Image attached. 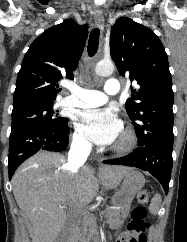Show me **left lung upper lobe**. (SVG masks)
I'll use <instances>...</instances> for the list:
<instances>
[{
	"label": "left lung upper lobe",
	"instance_id": "5c2ea615",
	"mask_svg": "<svg viewBox=\"0 0 187 242\" xmlns=\"http://www.w3.org/2000/svg\"><path fill=\"white\" fill-rule=\"evenodd\" d=\"M110 53L120 75L136 81L126 101L138 146L173 140L172 78L165 49L158 36L127 17L111 29Z\"/></svg>",
	"mask_w": 187,
	"mask_h": 242
}]
</instances>
